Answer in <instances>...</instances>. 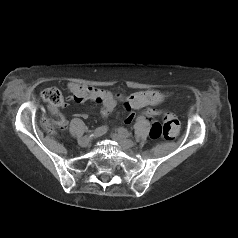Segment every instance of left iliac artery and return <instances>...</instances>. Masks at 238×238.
I'll list each match as a JSON object with an SVG mask.
<instances>
[{
  "label": "left iliac artery",
  "mask_w": 238,
  "mask_h": 238,
  "mask_svg": "<svg viewBox=\"0 0 238 238\" xmlns=\"http://www.w3.org/2000/svg\"><path fill=\"white\" fill-rule=\"evenodd\" d=\"M119 133L124 137H132V134L127 131V129L121 127L119 128Z\"/></svg>",
  "instance_id": "left-iliac-artery-1"
}]
</instances>
